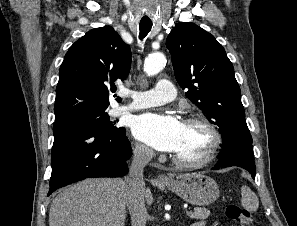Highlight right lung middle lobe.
Listing matches in <instances>:
<instances>
[{
	"mask_svg": "<svg viewBox=\"0 0 297 226\" xmlns=\"http://www.w3.org/2000/svg\"><path fill=\"white\" fill-rule=\"evenodd\" d=\"M63 120L81 121L87 125H90L98 130H101V131H104L107 133H120V132L125 131V129L123 127L118 128V127L114 126V124L116 122L110 121V118H109L106 110L83 111V112L71 115Z\"/></svg>",
	"mask_w": 297,
	"mask_h": 226,
	"instance_id": "obj_1",
	"label": "right lung middle lobe"
}]
</instances>
